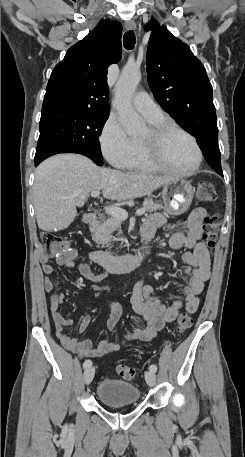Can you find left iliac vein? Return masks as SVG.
I'll return each instance as SVG.
<instances>
[{
  "mask_svg": "<svg viewBox=\"0 0 245 457\" xmlns=\"http://www.w3.org/2000/svg\"><path fill=\"white\" fill-rule=\"evenodd\" d=\"M146 381L150 387H154L156 384V376L152 371H147L145 373Z\"/></svg>",
  "mask_w": 245,
  "mask_h": 457,
  "instance_id": "4c4485c4",
  "label": "left iliac vein"
}]
</instances>
